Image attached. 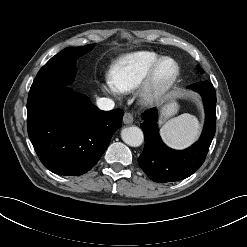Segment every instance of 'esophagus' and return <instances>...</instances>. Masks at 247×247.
<instances>
[{
  "instance_id": "34e87169",
  "label": "esophagus",
  "mask_w": 247,
  "mask_h": 247,
  "mask_svg": "<svg viewBox=\"0 0 247 247\" xmlns=\"http://www.w3.org/2000/svg\"><path fill=\"white\" fill-rule=\"evenodd\" d=\"M123 122L125 124H131L133 122V115L131 113L126 112L123 116Z\"/></svg>"
}]
</instances>
